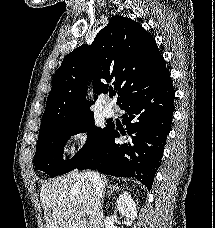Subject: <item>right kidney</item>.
I'll list each match as a JSON object with an SVG mask.
<instances>
[{
    "mask_svg": "<svg viewBox=\"0 0 215 228\" xmlns=\"http://www.w3.org/2000/svg\"><path fill=\"white\" fill-rule=\"evenodd\" d=\"M116 208L118 212L122 214V216H126V218H129V220H136L137 208L129 192H123V194H120L116 202Z\"/></svg>",
    "mask_w": 215,
    "mask_h": 228,
    "instance_id": "right-kidney-1",
    "label": "right kidney"
}]
</instances>
